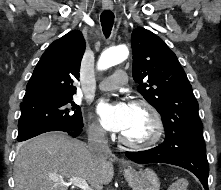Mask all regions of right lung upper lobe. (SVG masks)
<instances>
[{"label":"right lung upper lobe","mask_w":221,"mask_h":190,"mask_svg":"<svg viewBox=\"0 0 221 190\" xmlns=\"http://www.w3.org/2000/svg\"><path fill=\"white\" fill-rule=\"evenodd\" d=\"M84 51L85 40L79 30L55 40L36 65L20 106L72 97Z\"/></svg>","instance_id":"right-lung-upper-lobe-1"}]
</instances>
